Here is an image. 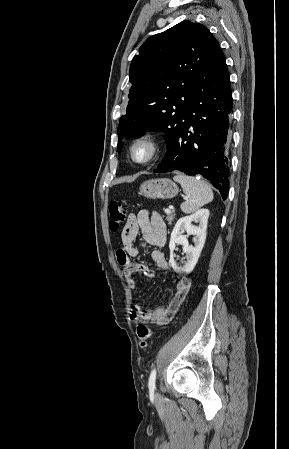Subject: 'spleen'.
Here are the masks:
<instances>
[{
	"instance_id": "obj_1",
	"label": "spleen",
	"mask_w": 289,
	"mask_h": 449,
	"mask_svg": "<svg viewBox=\"0 0 289 449\" xmlns=\"http://www.w3.org/2000/svg\"><path fill=\"white\" fill-rule=\"evenodd\" d=\"M173 179L181 185L187 196L180 206L182 212L193 213L213 200L212 189L206 182L182 173H177Z\"/></svg>"
}]
</instances>
